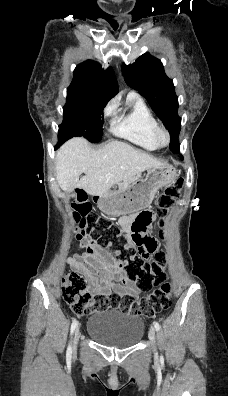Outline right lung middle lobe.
<instances>
[{
  "label": "right lung middle lobe",
  "mask_w": 228,
  "mask_h": 396,
  "mask_svg": "<svg viewBox=\"0 0 228 396\" xmlns=\"http://www.w3.org/2000/svg\"><path fill=\"white\" fill-rule=\"evenodd\" d=\"M107 101L96 94L67 90V101L63 107V123L59 126V141L83 136L92 143L102 139V110Z\"/></svg>",
  "instance_id": "1"
}]
</instances>
